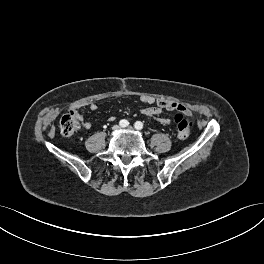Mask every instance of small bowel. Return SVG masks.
Segmentation results:
<instances>
[{
    "label": "small bowel",
    "instance_id": "c3829d8e",
    "mask_svg": "<svg viewBox=\"0 0 264 264\" xmlns=\"http://www.w3.org/2000/svg\"><path fill=\"white\" fill-rule=\"evenodd\" d=\"M144 103L150 105L147 107H144L141 110V113L145 116L154 117L157 118L159 122L162 124H169L170 120L167 118L160 117V114L162 113L163 109L166 110H175V109H181L185 112L186 115H190L191 112L184 108L182 105H179L176 102L168 101V100H162L158 101L156 105H153L155 103L154 98L152 97H143L141 99ZM90 110L95 111L97 110V105L95 103H90L89 105ZM79 120L82 122V128L83 130H89L91 128V123L88 121H84L83 116L80 114H77ZM112 119V118H111Z\"/></svg>",
    "mask_w": 264,
    "mask_h": 264
}]
</instances>
